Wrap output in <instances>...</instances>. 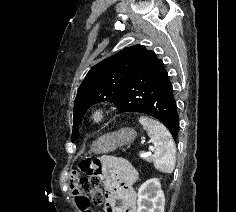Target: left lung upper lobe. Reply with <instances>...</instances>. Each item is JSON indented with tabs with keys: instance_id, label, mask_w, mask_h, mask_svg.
Listing matches in <instances>:
<instances>
[{
	"instance_id": "5c2ea615",
	"label": "left lung upper lobe",
	"mask_w": 236,
	"mask_h": 212,
	"mask_svg": "<svg viewBox=\"0 0 236 212\" xmlns=\"http://www.w3.org/2000/svg\"><path fill=\"white\" fill-rule=\"evenodd\" d=\"M146 52L142 45L127 47L90 69L78 88L75 99L71 136L73 142L79 134L77 126L85 111L102 101L115 103L133 79Z\"/></svg>"
}]
</instances>
